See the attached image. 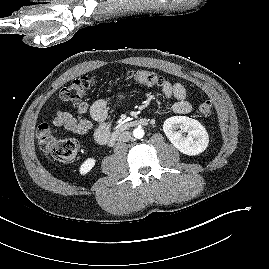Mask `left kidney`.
<instances>
[{
  "label": "left kidney",
  "mask_w": 269,
  "mask_h": 269,
  "mask_svg": "<svg viewBox=\"0 0 269 269\" xmlns=\"http://www.w3.org/2000/svg\"><path fill=\"white\" fill-rule=\"evenodd\" d=\"M187 132L183 136L181 131ZM163 131L169 141L183 154L193 156L202 153L208 146L209 136L204 126L197 120L186 116H173L165 120Z\"/></svg>",
  "instance_id": "obj_1"
}]
</instances>
